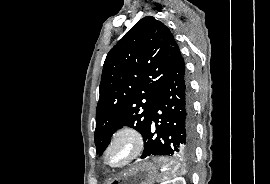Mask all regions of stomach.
I'll return each mask as SVG.
<instances>
[{"label":"stomach","mask_w":270,"mask_h":184,"mask_svg":"<svg viewBox=\"0 0 270 184\" xmlns=\"http://www.w3.org/2000/svg\"><path fill=\"white\" fill-rule=\"evenodd\" d=\"M168 163L169 168L177 167L171 161ZM157 179H160L158 166L153 162L143 161L111 180L109 184H153Z\"/></svg>","instance_id":"1"}]
</instances>
